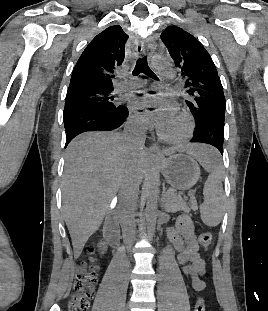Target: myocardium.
<instances>
[{
  "label": "myocardium",
  "mask_w": 268,
  "mask_h": 311,
  "mask_svg": "<svg viewBox=\"0 0 268 311\" xmlns=\"http://www.w3.org/2000/svg\"><path fill=\"white\" fill-rule=\"evenodd\" d=\"M177 114L180 116V118L184 122V129L180 135L170 136L163 131L160 125H158L157 127V134L159 138L167 143L175 144V145H179V144H183L187 142L191 138L193 131H194V123H193V119L191 115L187 111H184V110L178 111Z\"/></svg>",
  "instance_id": "f54148a6"
}]
</instances>
